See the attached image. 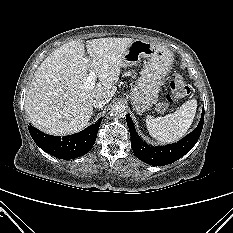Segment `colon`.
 Instances as JSON below:
<instances>
[{"label":"colon","mask_w":233,"mask_h":233,"mask_svg":"<svg viewBox=\"0 0 233 233\" xmlns=\"http://www.w3.org/2000/svg\"><path fill=\"white\" fill-rule=\"evenodd\" d=\"M188 93L189 87L185 83L182 75L176 73L170 81L169 90L160 98L156 109L159 112H165L175 101L186 96Z\"/></svg>","instance_id":"colon-1"}]
</instances>
